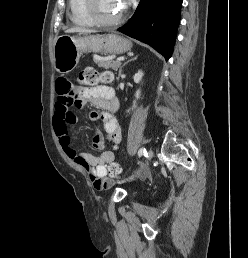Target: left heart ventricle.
Listing matches in <instances>:
<instances>
[{"instance_id":"left-heart-ventricle-1","label":"left heart ventricle","mask_w":248,"mask_h":258,"mask_svg":"<svg viewBox=\"0 0 248 258\" xmlns=\"http://www.w3.org/2000/svg\"><path fill=\"white\" fill-rule=\"evenodd\" d=\"M97 12L101 18L115 19L122 13L118 0H98Z\"/></svg>"}]
</instances>
